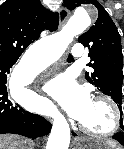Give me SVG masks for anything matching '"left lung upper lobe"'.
I'll list each match as a JSON object with an SVG mask.
<instances>
[{"instance_id":"5c2ea615","label":"left lung upper lobe","mask_w":124,"mask_h":149,"mask_svg":"<svg viewBox=\"0 0 124 149\" xmlns=\"http://www.w3.org/2000/svg\"><path fill=\"white\" fill-rule=\"evenodd\" d=\"M91 3L98 9V19L89 31L79 37V42L88 47L91 68L86 80L110 96L122 114L123 54L120 35L109 14L96 0H65V6L73 10L80 4ZM120 128L124 130L122 119Z\"/></svg>"}]
</instances>
